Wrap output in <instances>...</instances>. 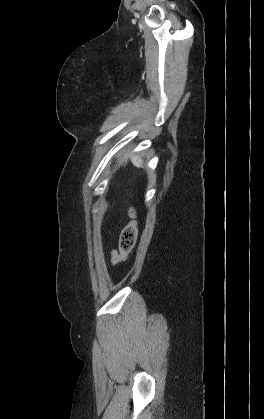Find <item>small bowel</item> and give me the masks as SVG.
<instances>
[{"mask_svg":"<svg viewBox=\"0 0 264 419\" xmlns=\"http://www.w3.org/2000/svg\"><path fill=\"white\" fill-rule=\"evenodd\" d=\"M120 259H121L120 255L115 250H112L111 251V261H112V263L116 264L120 261Z\"/></svg>","mask_w":264,"mask_h":419,"instance_id":"c3829d8e","label":"small bowel"}]
</instances>
